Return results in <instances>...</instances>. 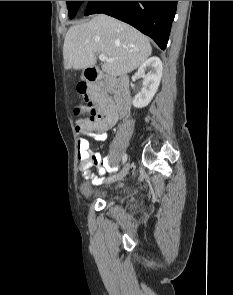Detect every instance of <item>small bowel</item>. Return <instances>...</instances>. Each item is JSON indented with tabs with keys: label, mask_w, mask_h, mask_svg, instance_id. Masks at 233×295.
<instances>
[{
	"label": "small bowel",
	"mask_w": 233,
	"mask_h": 295,
	"mask_svg": "<svg viewBox=\"0 0 233 295\" xmlns=\"http://www.w3.org/2000/svg\"><path fill=\"white\" fill-rule=\"evenodd\" d=\"M102 112V118L93 126L87 129L77 130L89 133L97 141L106 140V131L112 128L119 120V111L116 100L104 92L97 100ZM77 156L80 163V171L86 179H90L93 184H100L104 181L103 175L106 171H115L116 167L111 165L108 155L102 156L98 152L90 149L89 140L80 136L77 143ZM93 165L98 166L99 177L91 173Z\"/></svg>",
	"instance_id": "1"
}]
</instances>
